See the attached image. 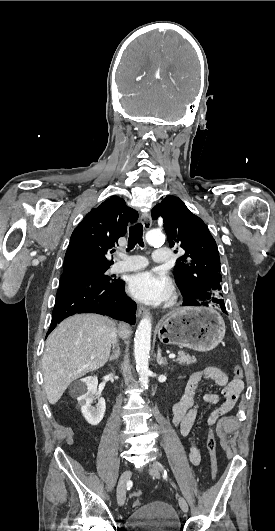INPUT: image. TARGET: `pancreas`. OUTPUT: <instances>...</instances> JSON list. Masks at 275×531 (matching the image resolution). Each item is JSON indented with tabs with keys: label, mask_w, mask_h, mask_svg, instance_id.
<instances>
[{
	"label": "pancreas",
	"mask_w": 275,
	"mask_h": 531,
	"mask_svg": "<svg viewBox=\"0 0 275 531\" xmlns=\"http://www.w3.org/2000/svg\"><path fill=\"white\" fill-rule=\"evenodd\" d=\"M175 361L178 365H192V363H196L197 359L196 357H191L188 353H184V351H178V359H175Z\"/></svg>",
	"instance_id": "obj_1"
}]
</instances>
